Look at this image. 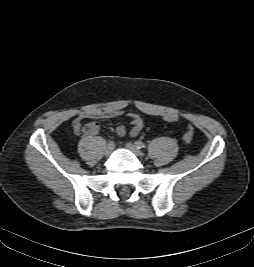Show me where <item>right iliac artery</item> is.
Returning <instances> with one entry per match:
<instances>
[{"mask_svg": "<svg viewBox=\"0 0 254 267\" xmlns=\"http://www.w3.org/2000/svg\"><path fill=\"white\" fill-rule=\"evenodd\" d=\"M108 145H110V146H114V142H113V141H110V142L108 143Z\"/></svg>", "mask_w": 254, "mask_h": 267, "instance_id": "right-iliac-artery-1", "label": "right iliac artery"}]
</instances>
